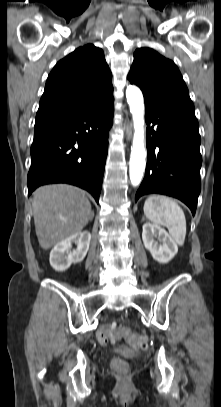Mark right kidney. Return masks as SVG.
<instances>
[{
	"label": "right kidney",
	"instance_id": "1",
	"mask_svg": "<svg viewBox=\"0 0 221 407\" xmlns=\"http://www.w3.org/2000/svg\"><path fill=\"white\" fill-rule=\"evenodd\" d=\"M90 239V232L83 231L57 243L50 252V265L56 271L62 272L72 263H80L88 252ZM72 243H75L77 248L71 252Z\"/></svg>",
	"mask_w": 221,
	"mask_h": 407
}]
</instances>
